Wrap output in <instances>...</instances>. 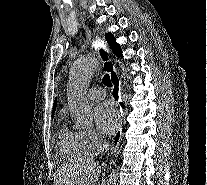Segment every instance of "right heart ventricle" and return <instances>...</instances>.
I'll return each instance as SVG.
<instances>
[{
    "label": "right heart ventricle",
    "mask_w": 207,
    "mask_h": 185,
    "mask_svg": "<svg viewBox=\"0 0 207 185\" xmlns=\"http://www.w3.org/2000/svg\"><path fill=\"white\" fill-rule=\"evenodd\" d=\"M62 155L70 162H87L94 159L98 147L93 145L83 131L62 129L59 135Z\"/></svg>",
    "instance_id": "obj_1"
}]
</instances>
